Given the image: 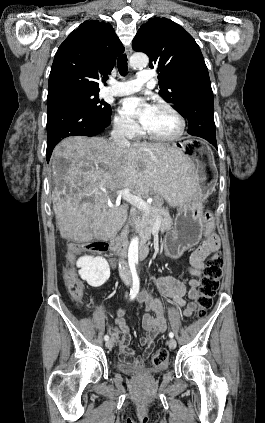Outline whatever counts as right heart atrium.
Here are the masks:
<instances>
[{"mask_svg": "<svg viewBox=\"0 0 265 423\" xmlns=\"http://www.w3.org/2000/svg\"><path fill=\"white\" fill-rule=\"evenodd\" d=\"M114 129L127 138H134L139 133L138 125L123 115L114 117Z\"/></svg>", "mask_w": 265, "mask_h": 423, "instance_id": "right-heart-atrium-1", "label": "right heart atrium"}]
</instances>
